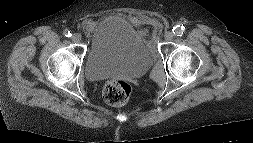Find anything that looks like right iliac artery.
<instances>
[{
	"label": "right iliac artery",
	"mask_w": 253,
	"mask_h": 143,
	"mask_svg": "<svg viewBox=\"0 0 253 143\" xmlns=\"http://www.w3.org/2000/svg\"><path fill=\"white\" fill-rule=\"evenodd\" d=\"M64 35H65L66 37H71V36H72V34L70 33V31H68V30H66V31L64 32Z\"/></svg>",
	"instance_id": "1"
}]
</instances>
